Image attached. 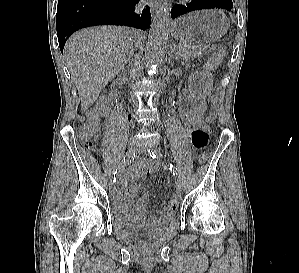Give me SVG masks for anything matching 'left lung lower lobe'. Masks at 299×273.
<instances>
[{"label":"left lung lower lobe","instance_id":"left-lung-lower-lobe-1","mask_svg":"<svg viewBox=\"0 0 299 273\" xmlns=\"http://www.w3.org/2000/svg\"><path fill=\"white\" fill-rule=\"evenodd\" d=\"M210 8L235 9V0H193L187 6H174L171 10V17L176 18L187 12Z\"/></svg>","mask_w":299,"mask_h":273}]
</instances>
